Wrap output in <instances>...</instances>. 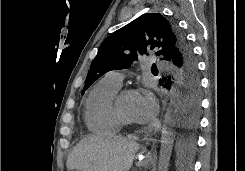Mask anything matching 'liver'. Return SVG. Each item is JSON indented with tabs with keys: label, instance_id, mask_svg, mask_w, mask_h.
Segmentation results:
<instances>
[{
	"label": "liver",
	"instance_id": "obj_1",
	"mask_svg": "<svg viewBox=\"0 0 245 171\" xmlns=\"http://www.w3.org/2000/svg\"><path fill=\"white\" fill-rule=\"evenodd\" d=\"M140 145L121 136H89L67 159V169L78 171H129Z\"/></svg>",
	"mask_w": 245,
	"mask_h": 171
}]
</instances>
